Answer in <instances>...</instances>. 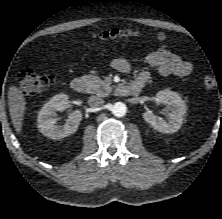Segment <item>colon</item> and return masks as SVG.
Returning <instances> with one entry per match:
<instances>
[{
    "mask_svg": "<svg viewBox=\"0 0 222 219\" xmlns=\"http://www.w3.org/2000/svg\"><path fill=\"white\" fill-rule=\"evenodd\" d=\"M140 35L138 31L134 30H121L110 29L99 33H93L92 39L97 41H108L118 39H133ZM159 43H165L167 37L164 34H159L156 37ZM53 76L37 74L32 70H22L18 74V84L23 92L26 94H38L47 89L53 82ZM217 84V81L212 76H206L203 79V86L206 89H213Z\"/></svg>",
    "mask_w": 222,
    "mask_h": 219,
    "instance_id": "colon-1",
    "label": "colon"
}]
</instances>
